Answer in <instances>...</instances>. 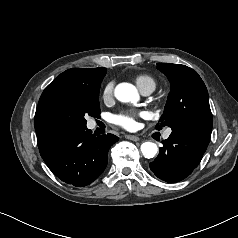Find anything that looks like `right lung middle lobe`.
<instances>
[{
	"label": "right lung middle lobe",
	"mask_w": 238,
	"mask_h": 238,
	"mask_svg": "<svg viewBox=\"0 0 238 238\" xmlns=\"http://www.w3.org/2000/svg\"><path fill=\"white\" fill-rule=\"evenodd\" d=\"M106 68H95V83L91 85H73L63 94L65 115L63 125L66 127H84L86 115L99 116L100 84L106 74Z\"/></svg>",
	"instance_id": "1"
}]
</instances>
